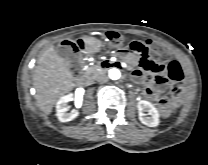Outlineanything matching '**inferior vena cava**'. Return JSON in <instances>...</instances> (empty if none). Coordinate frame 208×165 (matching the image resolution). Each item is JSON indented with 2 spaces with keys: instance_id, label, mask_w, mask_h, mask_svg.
Listing matches in <instances>:
<instances>
[{
  "instance_id": "602c4592",
  "label": "inferior vena cava",
  "mask_w": 208,
  "mask_h": 165,
  "mask_svg": "<svg viewBox=\"0 0 208 165\" xmlns=\"http://www.w3.org/2000/svg\"><path fill=\"white\" fill-rule=\"evenodd\" d=\"M96 80L100 83H105L108 80V77L105 75V73H100L96 76Z\"/></svg>"
}]
</instances>
